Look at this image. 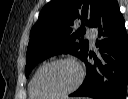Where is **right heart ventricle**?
<instances>
[{
  "label": "right heart ventricle",
  "instance_id": "e07e8e85",
  "mask_svg": "<svg viewBox=\"0 0 128 99\" xmlns=\"http://www.w3.org/2000/svg\"><path fill=\"white\" fill-rule=\"evenodd\" d=\"M29 97L32 99H36L37 97L32 93L31 87H29Z\"/></svg>",
  "mask_w": 128,
  "mask_h": 99
}]
</instances>
